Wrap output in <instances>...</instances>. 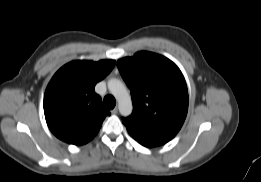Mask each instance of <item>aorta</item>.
Segmentation results:
<instances>
[{"label":"aorta","instance_id":"aorta-1","mask_svg":"<svg viewBox=\"0 0 261 182\" xmlns=\"http://www.w3.org/2000/svg\"><path fill=\"white\" fill-rule=\"evenodd\" d=\"M110 93L118 101V109L122 116H129L132 113L133 105L129 91L122 81L112 78L108 81Z\"/></svg>","mask_w":261,"mask_h":182}]
</instances>
